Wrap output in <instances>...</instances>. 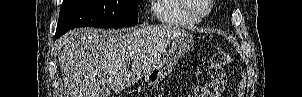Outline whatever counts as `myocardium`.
Masks as SVG:
<instances>
[{
  "instance_id": "f54148a6",
  "label": "myocardium",
  "mask_w": 302,
  "mask_h": 97,
  "mask_svg": "<svg viewBox=\"0 0 302 97\" xmlns=\"http://www.w3.org/2000/svg\"><path fill=\"white\" fill-rule=\"evenodd\" d=\"M206 2V6H207V10L203 13H198L197 11H195V9L193 8V5L191 3V0H182L183 6L185 11L193 18L197 19V20H201L203 18H205L206 16H208L212 10V4L213 1L212 0H205Z\"/></svg>"
}]
</instances>
